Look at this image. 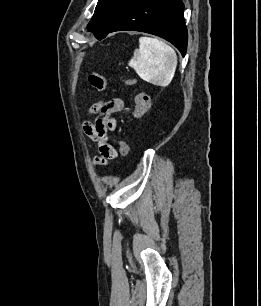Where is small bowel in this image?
I'll use <instances>...</instances> for the list:
<instances>
[{
    "mask_svg": "<svg viewBox=\"0 0 261 306\" xmlns=\"http://www.w3.org/2000/svg\"><path fill=\"white\" fill-rule=\"evenodd\" d=\"M124 102L116 98L111 101L102 102L94 105L91 112L96 114L94 122L84 124V132L94 142L97 143L99 156L96 158V164H105L108 160L117 157L116 149L108 143L107 132L114 130L117 122L112 114L123 109Z\"/></svg>",
    "mask_w": 261,
    "mask_h": 306,
    "instance_id": "1",
    "label": "small bowel"
}]
</instances>
